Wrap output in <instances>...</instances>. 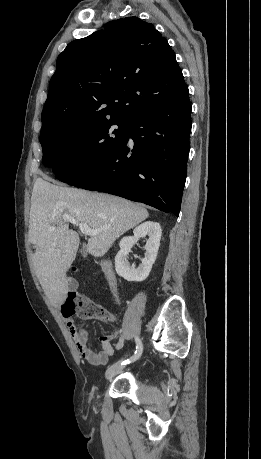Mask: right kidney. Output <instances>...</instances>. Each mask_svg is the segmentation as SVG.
Here are the masks:
<instances>
[{
  "label": "right kidney",
  "mask_w": 261,
  "mask_h": 459,
  "mask_svg": "<svg viewBox=\"0 0 261 459\" xmlns=\"http://www.w3.org/2000/svg\"><path fill=\"white\" fill-rule=\"evenodd\" d=\"M134 236L124 237L120 241V251L115 256V270L116 273L123 277L127 281H143L148 276L152 269V266L156 260L162 230L160 224L157 222L147 221L139 225L133 230ZM149 236V239L145 245V257L142 259V263L136 268L135 264L130 266L127 257L131 248L136 242L145 236Z\"/></svg>",
  "instance_id": "right-kidney-1"
}]
</instances>
